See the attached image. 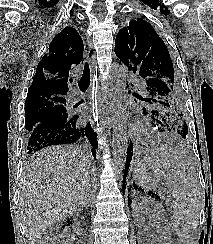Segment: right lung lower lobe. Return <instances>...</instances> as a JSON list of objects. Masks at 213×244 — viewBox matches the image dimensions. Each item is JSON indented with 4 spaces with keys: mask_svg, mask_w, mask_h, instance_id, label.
Masks as SVG:
<instances>
[{
    "mask_svg": "<svg viewBox=\"0 0 213 244\" xmlns=\"http://www.w3.org/2000/svg\"><path fill=\"white\" fill-rule=\"evenodd\" d=\"M78 118L76 114L65 113L39 123L26 136L27 153L33 154L48 146L72 144L86 136L93 146L92 153L95 157V149L98 146L96 134L90 122L82 126Z\"/></svg>",
    "mask_w": 213,
    "mask_h": 244,
    "instance_id": "right-lung-lower-lobe-1",
    "label": "right lung lower lobe"
}]
</instances>
